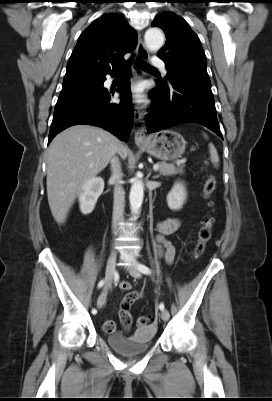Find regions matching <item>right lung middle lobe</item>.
Listing matches in <instances>:
<instances>
[{
    "instance_id": "dd1d6c3e",
    "label": "right lung middle lobe",
    "mask_w": 272,
    "mask_h": 401,
    "mask_svg": "<svg viewBox=\"0 0 272 401\" xmlns=\"http://www.w3.org/2000/svg\"><path fill=\"white\" fill-rule=\"evenodd\" d=\"M100 88H103V80L97 81V82H94V83H91L88 85H84V86H81L78 88H74V89L62 90L59 95V98H62L64 96L71 95L73 93H76V92H79L82 90H86V89H100Z\"/></svg>"
}]
</instances>
